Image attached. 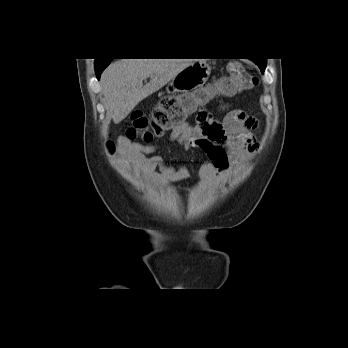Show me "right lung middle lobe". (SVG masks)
Wrapping results in <instances>:
<instances>
[{
	"mask_svg": "<svg viewBox=\"0 0 348 348\" xmlns=\"http://www.w3.org/2000/svg\"><path fill=\"white\" fill-rule=\"evenodd\" d=\"M111 60H112V59H96V61H95V66H96V65L107 66V65L110 63Z\"/></svg>",
	"mask_w": 348,
	"mask_h": 348,
	"instance_id": "obj_1",
	"label": "right lung middle lobe"
}]
</instances>
